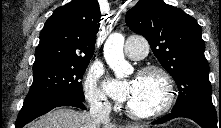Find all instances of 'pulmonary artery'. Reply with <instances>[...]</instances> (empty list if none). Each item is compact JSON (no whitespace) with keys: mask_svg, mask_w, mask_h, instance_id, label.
I'll return each mask as SVG.
<instances>
[{"mask_svg":"<svg viewBox=\"0 0 221 128\" xmlns=\"http://www.w3.org/2000/svg\"><path fill=\"white\" fill-rule=\"evenodd\" d=\"M147 40L139 35L129 36L125 43V54L130 59H140L148 51Z\"/></svg>","mask_w":221,"mask_h":128,"instance_id":"1","label":"pulmonary artery"}]
</instances>
